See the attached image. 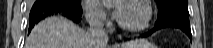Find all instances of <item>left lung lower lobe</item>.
I'll list each match as a JSON object with an SVG mask.
<instances>
[{
    "label": "left lung lower lobe",
    "instance_id": "1",
    "mask_svg": "<svg viewBox=\"0 0 213 48\" xmlns=\"http://www.w3.org/2000/svg\"><path fill=\"white\" fill-rule=\"evenodd\" d=\"M166 27L179 28L189 36L190 40H192L191 29L189 25V15L179 13H167L163 17L158 18L155 27L142 36H149L155 31Z\"/></svg>",
    "mask_w": 213,
    "mask_h": 48
}]
</instances>
